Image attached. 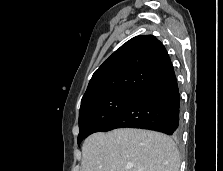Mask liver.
Wrapping results in <instances>:
<instances>
[{
    "mask_svg": "<svg viewBox=\"0 0 223 171\" xmlns=\"http://www.w3.org/2000/svg\"><path fill=\"white\" fill-rule=\"evenodd\" d=\"M81 171H179L173 140L162 133L120 128L94 133L82 146Z\"/></svg>",
    "mask_w": 223,
    "mask_h": 171,
    "instance_id": "1",
    "label": "liver"
}]
</instances>
